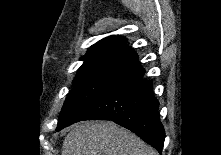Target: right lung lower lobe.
Wrapping results in <instances>:
<instances>
[{"mask_svg": "<svg viewBox=\"0 0 221 155\" xmlns=\"http://www.w3.org/2000/svg\"><path fill=\"white\" fill-rule=\"evenodd\" d=\"M132 52L113 68L92 106L81 120H111L162 152L165 131L157 115L159 103L151 81L144 78Z\"/></svg>", "mask_w": 221, "mask_h": 155, "instance_id": "obj_1", "label": "right lung lower lobe"}]
</instances>
